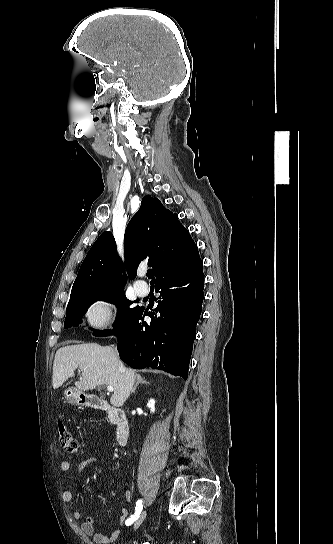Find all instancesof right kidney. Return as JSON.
Returning a JSON list of instances; mask_svg holds the SVG:
<instances>
[{
	"label": "right kidney",
	"mask_w": 333,
	"mask_h": 544,
	"mask_svg": "<svg viewBox=\"0 0 333 544\" xmlns=\"http://www.w3.org/2000/svg\"><path fill=\"white\" fill-rule=\"evenodd\" d=\"M147 407L150 409V411L152 413L155 412V400L154 399H150L147 403Z\"/></svg>",
	"instance_id": "obj_1"
}]
</instances>
